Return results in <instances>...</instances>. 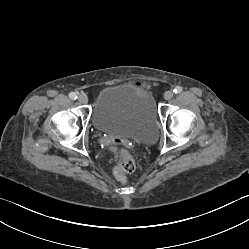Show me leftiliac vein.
<instances>
[{"label": "left iliac vein", "instance_id": "left-iliac-vein-1", "mask_svg": "<svg viewBox=\"0 0 249 249\" xmlns=\"http://www.w3.org/2000/svg\"><path fill=\"white\" fill-rule=\"evenodd\" d=\"M173 95H174L173 91L168 90V91H166V92L164 93V98H165L166 100H170V99L173 97Z\"/></svg>", "mask_w": 249, "mask_h": 249}]
</instances>
